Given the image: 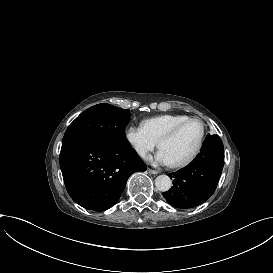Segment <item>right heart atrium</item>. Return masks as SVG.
<instances>
[{
  "label": "right heart atrium",
  "mask_w": 273,
  "mask_h": 273,
  "mask_svg": "<svg viewBox=\"0 0 273 273\" xmlns=\"http://www.w3.org/2000/svg\"><path fill=\"white\" fill-rule=\"evenodd\" d=\"M126 137L141 158H147L158 146V141L153 138L143 124L138 126L130 125Z\"/></svg>",
  "instance_id": "obj_1"
}]
</instances>
